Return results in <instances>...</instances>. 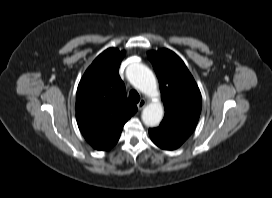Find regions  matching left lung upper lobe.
<instances>
[{
  "label": "left lung upper lobe",
  "mask_w": 272,
  "mask_h": 198,
  "mask_svg": "<svg viewBox=\"0 0 272 198\" xmlns=\"http://www.w3.org/2000/svg\"><path fill=\"white\" fill-rule=\"evenodd\" d=\"M158 77L165 116L160 125L191 135L198 122L202 98L184 62L171 50L148 52Z\"/></svg>",
  "instance_id": "1"
}]
</instances>
